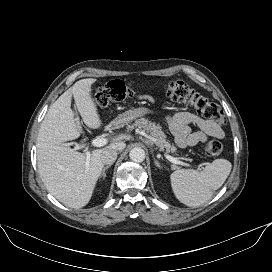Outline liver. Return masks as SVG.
Instances as JSON below:
<instances>
[{
	"instance_id": "6515ba94",
	"label": "liver",
	"mask_w": 272,
	"mask_h": 272,
	"mask_svg": "<svg viewBox=\"0 0 272 272\" xmlns=\"http://www.w3.org/2000/svg\"><path fill=\"white\" fill-rule=\"evenodd\" d=\"M96 81L82 79L65 91L50 106L37 137V165L45 187L58 201L74 209L84 207L92 197L104 166L103 150L122 151L126 147L124 142H113L103 149L93 150L87 160L85 154L66 144L81 134L71 109L72 96L85 125L98 129L102 124L91 95Z\"/></svg>"
}]
</instances>
